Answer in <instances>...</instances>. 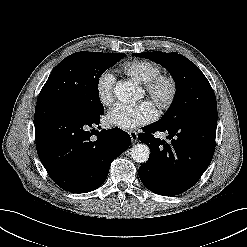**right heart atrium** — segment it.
<instances>
[{
  "label": "right heart atrium",
  "mask_w": 247,
  "mask_h": 247,
  "mask_svg": "<svg viewBox=\"0 0 247 247\" xmlns=\"http://www.w3.org/2000/svg\"><path fill=\"white\" fill-rule=\"evenodd\" d=\"M115 77L110 71L102 72L96 79L95 90L99 102L110 105L114 100Z\"/></svg>",
  "instance_id": "d8ad5b80"
}]
</instances>
